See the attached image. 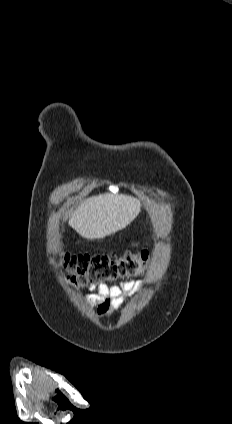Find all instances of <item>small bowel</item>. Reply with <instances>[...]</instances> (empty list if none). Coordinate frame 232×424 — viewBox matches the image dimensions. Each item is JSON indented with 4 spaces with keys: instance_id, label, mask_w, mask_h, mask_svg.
Listing matches in <instances>:
<instances>
[{
    "instance_id": "1",
    "label": "small bowel",
    "mask_w": 232,
    "mask_h": 424,
    "mask_svg": "<svg viewBox=\"0 0 232 424\" xmlns=\"http://www.w3.org/2000/svg\"><path fill=\"white\" fill-rule=\"evenodd\" d=\"M142 288V282L125 281L115 285L98 284L90 287L85 302L96 307L99 318L106 316L113 309L122 305L124 300Z\"/></svg>"
}]
</instances>
